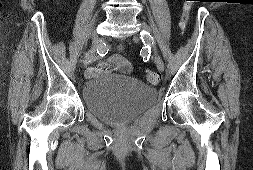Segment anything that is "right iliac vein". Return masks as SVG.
Segmentation results:
<instances>
[{"mask_svg":"<svg viewBox=\"0 0 253 170\" xmlns=\"http://www.w3.org/2000/svg\"><path fill=\"white\" fill-rule=\"evenodd\" d=\"M97 42H98V35L96 32H93V34H92L93 47L91 48L86 60L84 61L85 67H88L95 59V45Z\"/></svg>","mask_w":253,"mask_h":170,"instance_id":"obj_1","label":"right iliac vein"}]
</instances>
